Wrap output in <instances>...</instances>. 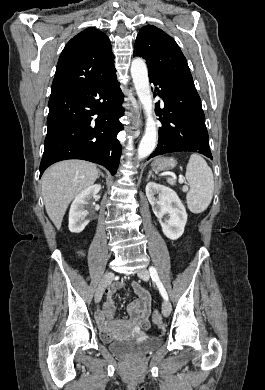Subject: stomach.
I'll use <instances>...</instances> for the list:
<instances>
[{"label": "stomach", "instance_id": "stomach-1", "mask_svg": "<svg viewBox=\"0 0 265 390\" xmlns=\"http://www.w3.org/2000/svg\"><path fill=\"white\" fill-rule=\"evenodd\" d=\"M177 164L176 160L173 158L161 157L157 158L152 163V169L155 171H164L169 170L175 167Z\"/></svg>", "mask_w": 265, "mask_h": 390}]
</instances>
